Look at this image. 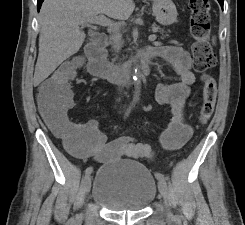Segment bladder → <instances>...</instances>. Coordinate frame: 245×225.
Masks as SVG:
<instances>
[{
	"instance_id": "obj_1",
	"label": "bladder",
	"mask_w": 245,
	"mask_h": 225,
	"mask_svg": "<svg viewBox=\"0 0 245 225\" xmlns=\"http://www.w3.org/2000/svg\"><path fill=\"white\" fill-rule=\"evenodd\" d=\"M157 194L152 172L134 159H121L99 168L95 174L92 200L111 212H139Z\"/></svg>"
}]
</instances>
